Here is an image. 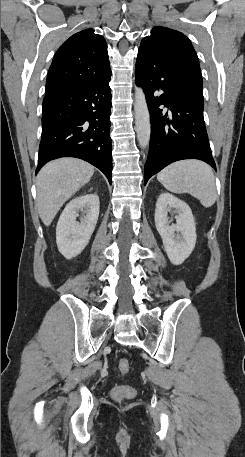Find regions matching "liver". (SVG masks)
<instances>
[{
	"label": "liver",
	"mask_w": 245,
	"mask_h": 457,
	"mask_svg": "<svg viewBox=\"0 0 245 457\" xmlns=\"http://www.w3.org/2000/svg\"><path fill=\"white\" fill-rule=\"evenodd\" d=\"M94 166L80 158H57L37 174L38 214L45 226L51 224L62 204L89 182Z\"/></svg>",
	"instance_id": "6515ba94"
}]
</instances>
